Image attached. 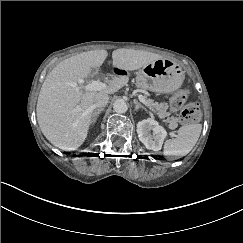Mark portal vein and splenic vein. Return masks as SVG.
Here are the masks:
<instances>
[{
	"instance_id": "obj_1",
	"label": "portal vein and splenic vein",
	"mask_w": 243,
	"mask_h": 243,
	"mask_svg": "<svg viewBox=\"0 0 243 243\" xmlns=\"http://www.w3.org/2000/svg\"><path fill=\"white\" fill-rule=\"evenodd\" d=\"M104 87H105V84H103L102 82L93 81L92 83H90L86 86V89L98 91ZM139 100L142 104H144L146 107H148L155 115L159 114L158 111L155 108H153V106L143 96H139Z\"/></svg>"
}]
</instances>
